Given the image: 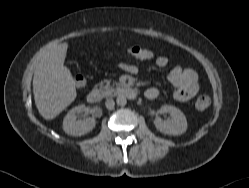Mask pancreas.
I'll list each match as a JSON object with an SVG mask.
<instances>
[{"label": "pancreas", "mask_w": 249, "mask_h": 188, "mask_svg": "<svg viewBox=\"0 0 249 188\" xmlns=\"http://www.w3.org/2000/svg\"><path fill=\"white\" fill-rule=\"evenodd\" d=\"M105 83V85L104 82L99 83L100 92L103 94L104 97L112 96L115 92L113 86H118V84L116 82H113V86H111L110 80L105 81Z\"/></svg>", "instance_id": "obj_1"}]
</instances>
